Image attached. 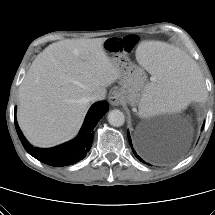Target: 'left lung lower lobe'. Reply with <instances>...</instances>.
Listing matches in <instances>:
<instances>
[{
    "label": "left lung lower lobe",
    "instance_id": "1",
    "mask_svg": "<svg viewBox=\"0 0 215 215\" xmlns=\"http://www.w3.org/2000/svg\"><path fill=\"white\" fill-rule=\"evenodd\" d=\"M202 129H203V128H202ZM127 134H128V139H129V143H130V146H131V148H132V151H133L134 155H135L141 162L146 163L141 157H143V158H145V159H147V160H150V161H154V160H155L154 158L150 157L149 155L145 154L144 152H143L142 154L136 153V151L134 150V148H133V146H132V142H131V138H130L129 132H128ZM146 164H148V163H146ZM148 165H149V164H148Z\"/></svg>",
    "mask_w": 215,
    "mask_h": 215
}]
</instances>
